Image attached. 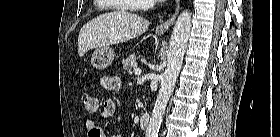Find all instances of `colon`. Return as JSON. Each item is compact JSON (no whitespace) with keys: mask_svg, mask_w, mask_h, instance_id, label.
Instances as JSON below:
<instances>
[{"mask_svg":"<svg viewBox=\"0 0 280 137\" xmlns=\"http://www.w3.org/2000/svg\"><path fill=\"white\" fill-rule=\"evenodd\" d=\"M82 105L87 113L94 114L98 111L99 101L94 96H83Z\"/></svg>","mask_w":280,"mask_h":137,"instance_id":"obj_1","label":"colon"}]
</instances>
